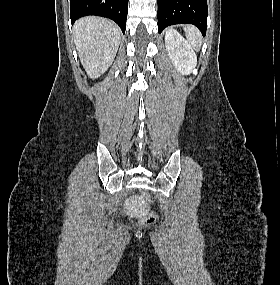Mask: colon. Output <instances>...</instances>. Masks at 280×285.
<instances>
[{
  "label": "colon",
  "mask_w": 280,
  "mask_h": 285,
  "mask_svg": "<svg viewBox=\"0 0 280 285\" xmlns=\"http://www.w3.org/2000/svg\"><path fill=\"white\" fill-rule=\"evenodd\" d=\"M140 200H141L142 204L146 207H149L152 204L151 195L146 191L141 192ZM157 222H158V217L153 212L147 213L146 218H145V224L146 225H152V224H155Z\"/></svg>",
  "instance_id": "obj_1"
}]
</instances>
